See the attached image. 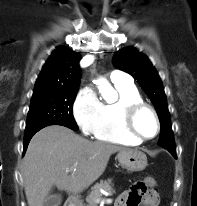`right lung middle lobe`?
Listing matches in <instances>:
<instances>
[{
    "instance_id": "dd1d6c3e",
    "label": "right lung middle lobe",
    "mask_w": 197,
    "mask_h": 206,
    "mask_svg": "<svg viewBox=\"0 0 197 206\" xmlns=\"http://www.w3.org/2000/svg\"><path fill=\"white\" fill-rule=\"evenodd\" d=\"M76 95L77 89L34 91L24 136L49 125H62L74 131L78 130L72 113Z\"/></svg>"
}]
</instances>
